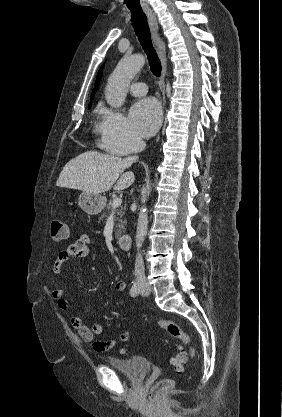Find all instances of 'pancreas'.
<instances>
[{"label": "pancreas", "instance_id": "obj_1", "mask_svg": "<svg viewBox=\"0 0 282 417\" xmlns=\"http://www.w3.org/2000/svg\"><path fill=\"white\" fill-rule=\"evenodd\" d=\"M113 200H109V204H107V209L103 211L101 217H99L100 221H103V219H106L107 215H110L111 211H114L115 217L114 221H117L116 223V231H115V237L116 239H119L121 237L122 233H124V225H126L125 219H123L125 215V209L124 206H117V209H113L112 206Z\"/></svg>", "mask_w": 282, "mask_h": 417}]
</instances>
